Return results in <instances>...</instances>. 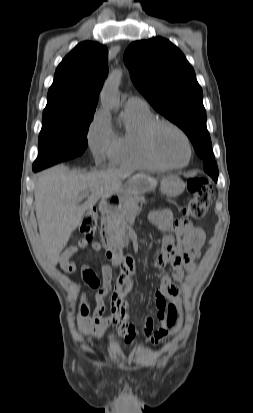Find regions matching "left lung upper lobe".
I'll list each match as a JSON object with an SVG mask.
<instances>
[{"label":"left lung upper lobe","mask_w":253,"mask_h":413,"mask_svg":"<svg viewBox=\"0 0 253 413\" xmlns=\"http://www.w3.org/2000/svg\"><path fill=\"white\" fill-rule=\"evenodd\" d=\"M124 62L136 88L157 112L187 134L203 160L204 171L218 177L202 89L184 54L169 40L155 37L131 43Z\"/></svg>","instance_id":"1"}]
</instances>
